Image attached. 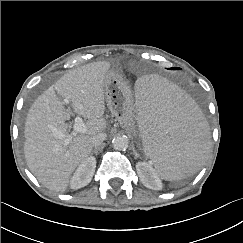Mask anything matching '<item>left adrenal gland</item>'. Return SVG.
<instances>
[{
    "instance_id": "left-adrenal-gland-1",
    "label": "left adrenal gland",
    "mask_w": 243,
    "mask_h": 243,
    "mask_svg": "<svg viewBox=\"0 0 243 243\" xmlns=\"http://www.w3.org/2000/svg\"><path fill=\"white\" fill-rule=\"evenodd\" d=\"M133 153L135 155V158H139V154L137 153V151L135 150V148H133Z\"/></svg>"
}]
</instances>
